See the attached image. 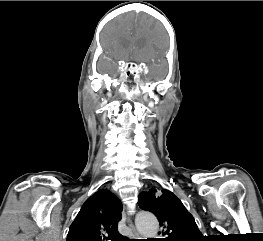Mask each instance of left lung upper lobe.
Listing matches in <instances>:
<instances>
[{"mask_svg": "<svg viewBox=\"0 0 263 241\" xmlns=\"http://www.w3.org/2000/svg\"><path fill=\"white\" fill-rule=\"evenodd\" d=\"M138 204L143 210L156 215L162 227V234L168 237L162 241H203L193 216L171 191L151 188L142 192Z\"/></svg>", "mask_w": 263, "mask_h": 241, "instance_id": "1", "label": "left lung upper lobe"}]
</instances>
